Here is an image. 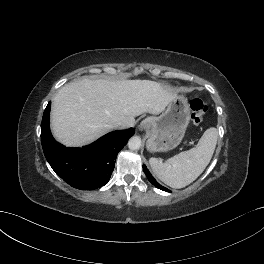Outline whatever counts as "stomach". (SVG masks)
Segmentation results:
<instances>
[{
    "label": "stomach",
    "mask_w": 264,
    "mask_h": 264,
    "mask_svg": "<svg viewBox=\"0 0 264 264\" xmlns=\"http://www.w3.org/2000/svg\"><path fill=\"white\" fill-rule=\"evenodd\" d=\"M191 109L186 97L177 95L167 106L164 113L158 117H148L149 137L146 142L150 152H167L176 148L182 141L188 123Z\"/></svg>",
    "instance_id": "0dacf381"
}]
</instances>
